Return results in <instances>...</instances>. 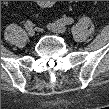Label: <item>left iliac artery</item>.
I'll return each instance as SVG.
<instances>
[{"label":"left iliac artery","mask_w":109,"mask_h":109,"mask_svg":"<svg viewBox=\"0 0 109 109\" xmlns=\"http://www.w3.org/2000/svg\"><path fill=\"white\" fill-rule=\"evenodd\" d=\"M57 22L62 23V24H66V25H71L74 22V20L71 17H65V18L58 20Z\"/></svg>","instance_id":"1"}]
</instances>
